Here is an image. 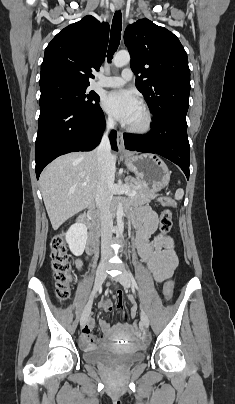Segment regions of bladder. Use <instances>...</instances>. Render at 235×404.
<instances>
[{
    "instance_id": "1",
    "label": "bladder",
    "mask_w": 235,
    "mask_h": 404,
    "mask_svg": "<svg viewBox=\"0 0 235 404\" xmlns=\"http://www.w3.org/2000/svg\"><path fill=\"white\" fill-rule=\"evenodd\" d=\"M84 359L94 365L128 367L140 363L143 360V355L135 349L122 352L116 347L105 346L86 351Z\"/></svg>"
}]
</instances>
